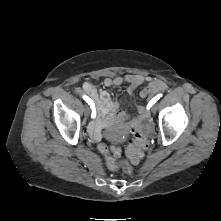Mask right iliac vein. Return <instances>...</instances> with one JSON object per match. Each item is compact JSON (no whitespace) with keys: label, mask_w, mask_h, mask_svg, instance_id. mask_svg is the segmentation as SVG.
Listing matches in <instances>:
<instances>
[{"label":"right iliac vein","mask_w":221,"mask_h":221,"mask_svg":"<svg viewBox=\"0 0 221 221\" xmlns=\"http://www.w3.org/2000/svg\"><path fill=\"white\" fill-rule=\"evenodd\" d=\"M84 114L86 117L89 116V114H90V108L87 105L84 108Z\"/></svg>","instance_id":"obj_1"}]
</instances>
